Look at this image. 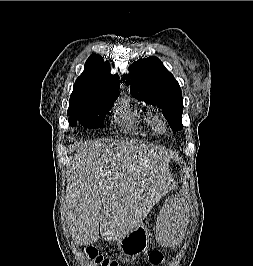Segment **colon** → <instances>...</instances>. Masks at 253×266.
Wrapping results in <instances>:
<instances>
[{
	"instance_id": "colon-1",
	"label": "colon",
	"mask_w": 253,
	"mask_h": 266,
	"mask_svg": "<svg viewBox=\"0 0 253 266\" xmlns=\"http://www.w3.org/2000/svg\"><path fill=\"white\" fill-rule=\"evenodd\" d=\"M84 253L97 266H119V263L116 260L100 255L93 247L84 248ZM149 262L153 266H161L166 264V259L162 252L153 251L149 254Z\"/></svg>"
}]
</instances>
